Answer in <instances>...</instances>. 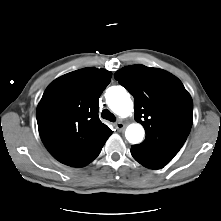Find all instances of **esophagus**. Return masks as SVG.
<instances>
[{
	"label": "esophagus",
	"instance_id": "esophagus-1",
	"mask_svg": "<svg viewBox=\"0 0 221 221\" xmlns=\"http://www.w3.org/2000/svg\"><path fill=\"white\" fill-rule=\"evenodd\" d=\"M115 128L118 130V131H121L125 128V124L121 121H117L115 124H114Z\"/></svg>",
	"mask_w": 221,
	"mask_h": 221
}]
</instances>
